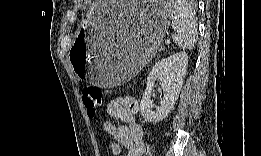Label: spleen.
<instances>
[{"label":"spleen","mask_w":261,"mask_h":156,"mask_svg":"<svg viewBox=\"0 0 261 156\" xmlns=\"http://www.w3.org/2000/svg\"><path fill=\"white\" fill-rule=\"evenodd\" d=\"M174 42L184 50H192L197 42L196 14L188 1L177 0L172 8Z\"/></svg>","instance_id":"1"}]
</instances>
